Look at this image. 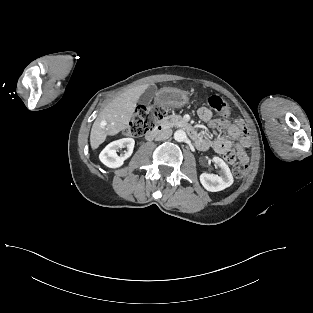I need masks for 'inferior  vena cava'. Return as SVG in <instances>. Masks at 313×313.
Wrapping results in <instances>:
<instances>
[{
  "instance_id": "obj_1",
  "label": "inferior vena cava",
  "mask_w": 313,
  "mask_h": 313,
  "mask_svg": "<svg viewBox=\"0 0 313 313\" xmlns=\"http://www.w3.org/2000/svg\"><path fill=\"white\" fill-rule=\"evenodd\" d=\"M172 135L171 129L163 130L157 137L156 140H166Z\"/></svg>"
}]
</instances>
